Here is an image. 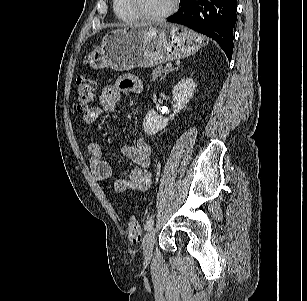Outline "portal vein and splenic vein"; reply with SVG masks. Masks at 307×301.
I'll list each match as a JSON object with an SVG mask.
<instances>
[{
    "label": "portal vein and splenic vein",
    "mask_w": 307,
    "mask_h": 301,
    "mask_svg": "<svg viewBox=\"0 0 307 301\" xmlns=\"http://www.w3.org/2000/svg\"><path fill=\"white\" fill-rule=\"evenodd\" d=\"M166 67H167V68H171V67H172V64L169 63V64L166 65Z\"/></svg>",
    "instance_id": "1"
}]
</instances>
